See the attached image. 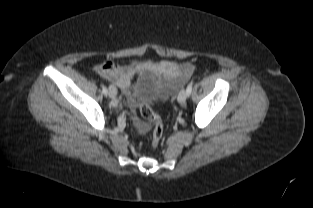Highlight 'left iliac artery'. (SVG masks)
I'll return each mask as SVG.
<instances>
[{"mask_svg":"<svg viewBox=\"0 0 313 208\" xmlns=\"http://www.w3.org/2000/svg\"><path fill=\"white\" fill-rule=\"evenodd\" d=\"M192 85H193V82H190L189 85L187 86V95L189 96L192 92Z\"/></svg>","mask_w":313,"mask_h":208,"instance_id":"44dca946","label":"left iliac artery"}]
</instances>
